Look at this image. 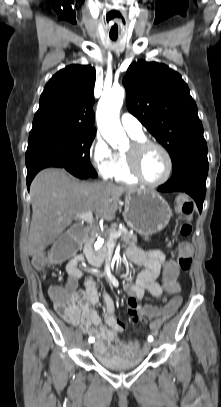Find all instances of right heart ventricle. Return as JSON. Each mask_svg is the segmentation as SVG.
I'll use <instances>...</instances> for the list:
<instances>
[{
	"instance_id": "obj_1",
	"label": "right heart ventricle",
	"mask_w": 221,
	"mask_h": 407,
	"mask_svg": "<svg viewBox=\"0 0 221 407\" xmlns=\"http://www.w3.org/2000/svg\"><path fill=\"white\" fill-rule=\"evenodd\" d=\"M135 140H144V136H132ZM119 182L135 183L137 180L130 174L125 153H118V166L113 176Z\"/></svg>"
}]
</instances>
